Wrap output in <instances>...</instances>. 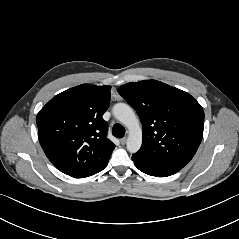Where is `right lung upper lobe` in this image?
I'll return each instance as SVG.
<instances>
[{"mask_svg":"<svg viewBox=\"0 0 239 239\" xmlns=\"http://www.w3.org/2000/svg\"><path fill=\"white\" fill-rule=\"evenodd\" d=\"M111 86L82 84L51 99L37 114L40 144L52 164L74 178L102 171L115 145L102 115Z\"/></svg>","mask_w":239,"mask_h":239,"instance_id":"1","label":"right lung upper lobe"}]
</instances>
